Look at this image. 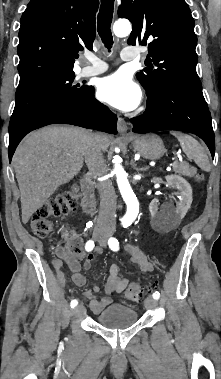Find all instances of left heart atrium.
I'll list each match as a JSON object with an SVG mask.
<instances>
[{
  "label": "left heart atrium",
  "instance_id": "1",
  "mask_svg": "<svg viewBox=\"0 0 221 379\" xmlns=\"http://www.w3.org/2000/svg\"><path fill=\"white\" fill-rule=\"evenodd\" d=\"M97 96L101 101L114 108L130 111L140 103L141 91L127 74L117 72L99 82Z\"/></svg>",
  "mask_w": 221,
  "mask_h": 379
}]
</instances>
